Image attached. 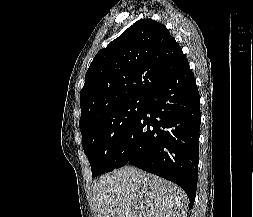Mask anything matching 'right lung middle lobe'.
I'll return each instance as SVG.
<instances>
[{"instance_id": "right-lung-middle-lobe-1", "label": "right lung middle lobe", "mask_w": 253, "mask_h": 217, "mask_svg": "<svg viewBox=\"0 0 253 217\" xmlns=\"http://www.w3.org/2000/svg\"><path fill=\"white\" fill-rule=\"evenodd\" d=\"M145 101V97H136L118 102L79 125L93 177L110 171L111 161L144 110Z\"/></svg>"}]
</instances>
